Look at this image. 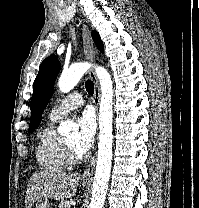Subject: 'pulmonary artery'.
Returning <instances> with one entry per match:
<instances>
[{"label": "pulmonary artery", "instance_id": "obj_1", "mask_svg": "<svg viewBox=\"0 0 199 208\" xmlns=\"http://www.w3.org/2000/svg\"><path fill=\"white\" fill-rule=\"evenodd\" d=\"M83 104V94L79 91H74L54 105L51 110L50 117L61 119L72 110L81 107Z\"/></svg>", "mask_w": 199, "mask_h": 208}]
</instances>
